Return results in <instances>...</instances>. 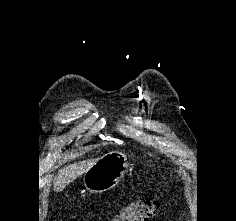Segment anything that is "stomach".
<instances>
[{
  "mask_svg": "<svg viewBox=\"0 0 236 221\" xmlns=\"http://www.w3.org/2000/svg\"><path fill=\"white\" fill-rule=\"evenodd\" d=\"M128 166L125 154L120 152L105 154L84 173V185L87 190L94 193L107 191L123 178Z\"/></svg>",
  "mask_w": 236,
  "mask_h": 221,
  "instance_id": "0dacf381",
  "label": "stomach"
}]
</instances>
